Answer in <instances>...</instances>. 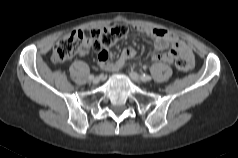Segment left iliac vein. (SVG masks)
I'll use <instances>...</instances> for the list:
<instances>
[{
	"label": "left iliac vein",
	"mask_w": 238,
	"mask_h": 158,
	"mask_svg": "<svg viewBox=\"0 0 238 158\" xmlns=\"http://www.w3.org/2000/svg\"><path fill=\"white\" fill-rule=\"evenodd\" d=\"M129 75L133 81H135V82L141 81V78L139 77V75L136 72H130Z\"/></svg>",
	"instance_id": "4c4485c4"
}]
</instances>
